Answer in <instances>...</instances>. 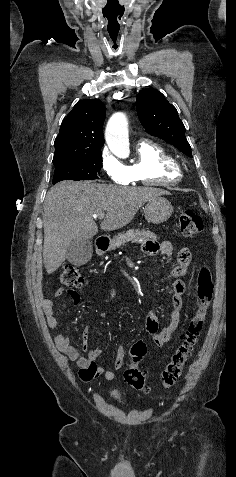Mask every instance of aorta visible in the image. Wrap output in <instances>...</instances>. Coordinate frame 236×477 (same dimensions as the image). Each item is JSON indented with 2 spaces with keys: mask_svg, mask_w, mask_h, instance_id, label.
Wrapping results in <instances>:
<instances>
[{
  "mask_svg": "<svg viewBox=\"0 0 236 477\" xmlns=\"http://www.w3.org/2000/svg\"><path fill=\"white\" fill-rule=\"evenodd\" d=\"M105 139L109 148L115 154L121 157L129 155L128 122L123 113H116L109 119Z\"/></svg>",
  "mask_w": 236,
  "mask_h": 477,
  "instance_id": "obj_1",
  "label": "aorta"
}]
</instances>
